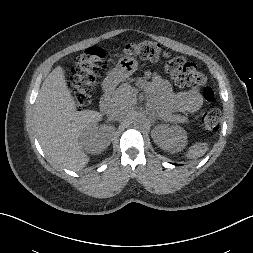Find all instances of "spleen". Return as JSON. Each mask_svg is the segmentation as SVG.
Here are the masks:
<instances>
[{"mask_svg":"<svg viewBox=\"0 0 253 253\" xmlns=\"http://www.w3.org/2000/svg\"><path fill=\"white\" fill-rule=\"evenodd\" d=\"M207 150H208V147L205 143H198V144L193 145L188 150L186 157L189 159H196L198 157L203 156Z\"/></svg>","mask_w":253,"mask_h":253,"instance_id":"3e777b00","label":"spleen"}]
</instances>
